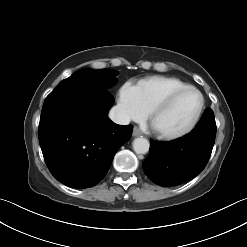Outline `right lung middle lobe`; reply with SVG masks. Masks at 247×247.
Instances as JSON below:
<instances>
[{"instance_id":"obj_1","label":"right lung middle lobe","mask_w":247,"mask_h":247,"mask_svg":"<svg viewBox=\"0 0 247 247\" xmlns=\"http://www.w3.org/2000/svg\"><path fill=\"white\" fill-rule=\"evenodd\" d=\"M118 73L114 70L82 69L62 80L53 91L74 87H98L107 89L117 82Z\"/></svg>"}]
</instances>
